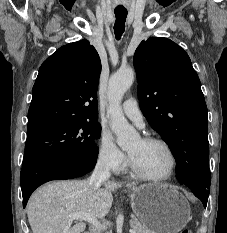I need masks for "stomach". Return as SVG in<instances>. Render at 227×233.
I'll return each instance as SVG.
<instances>
[{
  "label": "stomach",
  "instance_id": "1",
  "mask_svg": "<svg viewBox=\"0 0 227 233\" xmlns=\"http://www.w3.org/2000/svg\"><path fill=\"white\" fill-rule=\"evenodd\" d=\"M129 194L134 214L151 233H178L190 220L188 201L170 185L144 184Z\"/></svg>",
  "mask_w": 227,
  "mask_h": 233
}]
</instances>
